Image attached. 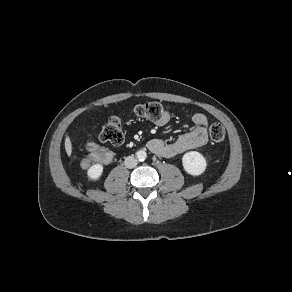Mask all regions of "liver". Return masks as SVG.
<instances>
[{"instance_id":"6515ba94","label":"liver","mask_w":292,"mask_h":292,"mask_svg":"<svg viewBox=\"0 0 292 292\" xmlns=\"http://www.w3.org/2000/svg\"><path fill=\"white\" fill-rule=\"evenodd\" d=\"M65 150H66L67 155L70 157L72 154V143L69 136H67L65 139Z\"/></svg>"}]
</instances>
